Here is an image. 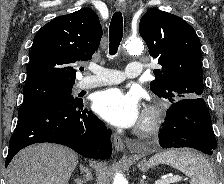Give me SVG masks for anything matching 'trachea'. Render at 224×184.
Segmentation results:
<instances>
[{"label": "trachea", "mask_w": 224, "mask_h": 184, "mask_svg": "<svg viewBox=\"0 0 224 184\" xmlns=\"http://www.w3.org/2000/svg\"><path fill=\"white\" fill-rule=\"evenodd\" d=\"M123 37V17L121 12H115L109 26V54L115 55Z\"/></svg>", "instance_id": "3493384b"}]
</instances>
